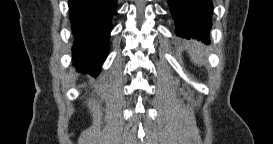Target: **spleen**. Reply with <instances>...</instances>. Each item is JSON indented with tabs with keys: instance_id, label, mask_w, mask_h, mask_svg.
Segmentation results:
<instances>
[{
	"instance_id": "spleen-1",
	"label": "spleen",
	"mask_w": 273,
	"mask_h": 144,
	"mask_svg": "<svg viewBox=\"0 0 273 144\" xmlns=\"http://www.w3.org/2000/svg\"><path fill=\"white\" fill-rule=\"evenodd\" d=\"M192 61L196 64H201L205 58V52L203 51L202 46L199 43H193L189 51Z\"/></svg>"
}]
</instances>
